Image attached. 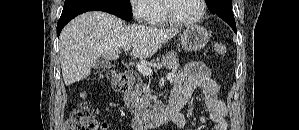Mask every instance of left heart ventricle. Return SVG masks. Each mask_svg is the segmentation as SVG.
<instances>
[{
	"mask_svg": "<svg viewBox=\"0 0 299 130\" xmlns=\"http://www.w3.org/2000/svg\"><path fill=\"white\" fill-rule=\"evenodd\" d=\"M171 12L178 18L190 19L198 15L200 11L198 0H172Z\"/></svg>",
	"mask_w": 299,
	"mask_h": 130,
	"instance_id": "b2bd125f",
	"label": "left heart ventricle"
}]
</instances>
